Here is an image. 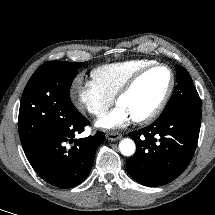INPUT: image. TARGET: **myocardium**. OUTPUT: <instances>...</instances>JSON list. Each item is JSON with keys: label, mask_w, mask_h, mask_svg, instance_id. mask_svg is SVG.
I'll use <instances>...</instances> for the list:
<instances>
[{"label": "myocardium", "mask_w": 215, "mask_h": 215, "mask_svg": "<svg viewBox=\"0 0 215 215\" xmlns=\"http://www.w3.org/2000/svg\"><path fill=\"white\" fill-rule=\"evenodd\" d=\"M166 68L169 71L170 74V83L169 86L164 94V96L162 97V99L160 100V102L158 103V105L147 115L140 117V118H136L134 119V122L138 123V124H148L152 121H154L165 109V107L167 106L172 93L174 91L175 88V74L172 70V68L164 63H152L144 68H142L141 70H139L138 72H136L132 77H130L128 79V81L120 88V90L118 91V93L115 96V103H118V101L126 96L128 93H130L132 91V89L136 86V84L141 80L142 77H144L148 72L152 71L153 69L156 68Z\"/></svg>", "instance_id": "f54148a6"}]
</instances>
